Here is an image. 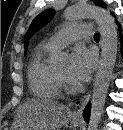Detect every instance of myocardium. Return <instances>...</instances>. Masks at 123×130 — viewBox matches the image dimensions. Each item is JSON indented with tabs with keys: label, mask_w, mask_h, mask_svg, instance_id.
<instances>
[{
	"label": "myocardium",
	"mask_w": 123,
	"mask_h": 130,
	"mask_svg": "<svg viewBox=\"0 0 123 130\" xmlns=\"http://www.w3.org/2000/svg\"><path fill=\"white\" fill-rule=\"evenodd\" d=\"M56 76H57V80L60 84V87H63L65 89H71L72 88L70 82L67 79H65L64 77H62L57 71H56Z\"/></svg>",
	"instance_id": "f54148a6"
}]
</instances>
